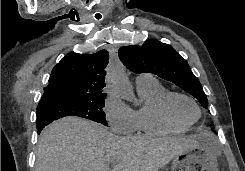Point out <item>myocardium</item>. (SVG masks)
<instances>
[{
    "label": "myocardium",
    "mask_w": 245,
    "mask_h": 171,
    "mask_svg": "<svg viewBox=\"0 0 245 171\" xmlns=\"http://www.w3.org/2000/svg\"><path fill=\"white\" fill-rule=\"evenodd\" d=\"M177 98L186 99V100L190 101L196 107V109L198 111V116L194 121L185 122L176 116V114L174 113V110H173V103H174L175 99H177ZM161 110H162L164 117L168 121H170L173 124L183 126V127H190V126L194 125L195 123H197L199 121V119L201 118V114H202L201 108H200L199 104L197 103V101L194 98H192L191 96L186 95L184 93H180V92H169V93H167L164 96V98L162 99Z\"/></svg>",
    "instance_id": "1"
}]
</instances>
